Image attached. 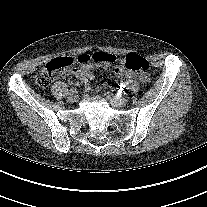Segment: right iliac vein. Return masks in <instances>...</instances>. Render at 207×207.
Listing matches in <instances>:
<instances>
[{
	"label": "right iliac vein",
	"mask_w": 207,
	"mask_h": 207,
	"mask_svg": "<svg viewBox=\"0 0 207 207\" xmlns=\"http://www.w3.org/2000/svg\"><path fill=\"white\" fill-rule=\"evenodd\" d=\"M67 101L69 103H74V102H76V97L74 95H69L67 98Z\"/></svg>",
	"instance_id": "1"
}]
</instances>
